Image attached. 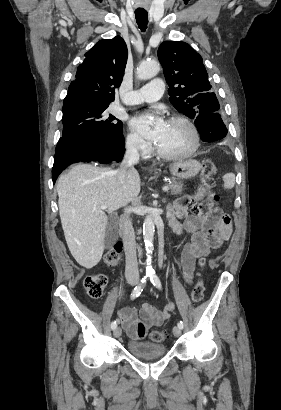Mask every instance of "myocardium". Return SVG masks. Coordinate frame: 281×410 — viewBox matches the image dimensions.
Instances as JSON below:
<instances>
[{"label": "myocardium", "mask_w": 281, "mask_h": 410, "mask_svg": "<svg viewBox=\"0 0 281 410\" xmlns=\"http://www.w3.org/2000/svg\"><path fill=\"white\" fill-rule=\"evenodd\" d=\"M168 121H176V122H181L183 124H185L186 126H188L192 132L193 135V144L191 146L190 149H188L185 152H181V153H168L163 151L162 149L159 148V146L156 144L155 145V151L156 153L164 158V159H168V160H175V159H183V158H187L192 156L200 147V142H201V137H200V132L197 128V126L195 125V123L189 119L188 117L184 116V115H180V114H175L173 116H171L169 118Z\"/></svg>", "instance_id": "f54148a6"}]
</instances>
